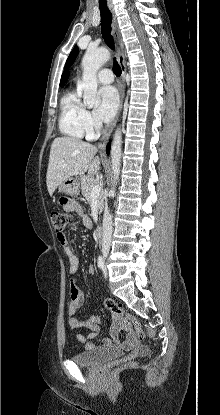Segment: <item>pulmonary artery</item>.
Listing matches in <instances>:
<instances>
[{"label":"pulmonary artery","instance_id":"e3ab8cb5","mask_svg":"<svg viewBox=\"0 0 220 415\" xmlns=\"http://www.w3.org/2000/svg\"><path fill=\"white\" fill-rule=\"evenodd\" d=\"M97 79L101 84H110L114 81V74L109 69H102L99 71Z\"/></svg>","mask_w":220,"mask_h":415}]
</instances>
